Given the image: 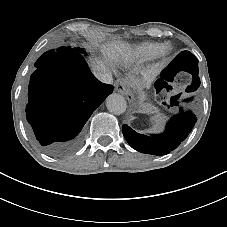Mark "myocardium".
Masks as SVG:
<instances>
[{
    "mask_svg": "<svg viewBox=\"0 0 227 227\" xmlns=\"http://www.w3.org/2000/svg\"><path fill=\"white\" fill-rule=\"evenodd\" d=\"M172 52V47L169 44L163 45L159 51V56L162 58H165L166 56H168L170 53ZM161 69V65L156 66L154 68H152L151 70H149L148 74L151 78H154L158 72Z\"/></svg>",
    "mask_w": 227,
    "mask_h": 227,
    "instance_id": "obj_1",
    "label": "myocardium"
}]
</instances>
